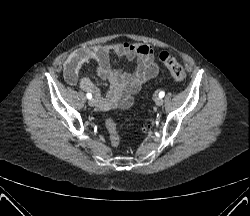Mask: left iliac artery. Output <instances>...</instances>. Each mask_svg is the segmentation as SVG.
<instances>
[{"label": "left iliac artery", "mask_w": 250, "mask_h": 216, "mask_svg": "<svg viewBox=\"0 0 250 216\" xmlns=\"http://www.w3.org/2000/svg\"><path fill=\"white\" fill-rule=\"evenodd\" d=\"M164 95H165V93H164L163 91H161V92L159 93V97H161V98H163Z\"/></svg>", "instance_id": "1"}]
</instances>
